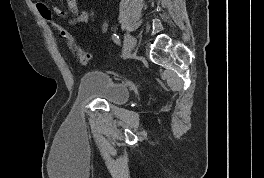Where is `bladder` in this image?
Here are the masks:
<instances>
[{"mask_svg":"<svg viewBox=\"0 0 264 178\" xmlns=\"http://www.w3.org/2000/svg\"><path fill=\"white\" fill-rule=\"evenodd\" d=\"M78 95L81 99H101L122 105L129 99V89L105 71H90L81 77Z\"/></svg>","mask_w":264,"mask_h":178,"instance_id":"1","label":"bladder"}]
</instances>
